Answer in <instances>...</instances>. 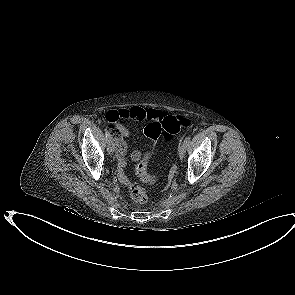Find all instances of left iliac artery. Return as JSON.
<instances>
[{"label": "left iliac artery", "mask_w": 295, "mask_h": 295, "mask_svg": "<svg viewBox=\"0 0 295 295\" xmlns=\"http://www.w3.org/2000/svg\"><path fill=\"white\" fill-rule=\"evenodd\" d=\"M190 139H191V136H190V135L187 136V137L185 138V140H184V143H186V144L188 145L189 142H190Z\"/></svg>", "instance_id": "44dca946"}]
</instances>
